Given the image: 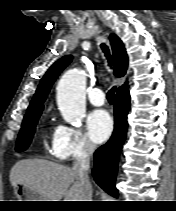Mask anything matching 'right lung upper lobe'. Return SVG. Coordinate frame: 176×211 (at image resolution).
<instances>
[{"mask_svg": "<svg viewBox=\"0 0 176 211\" xmlns=\"http://www.w3.org/2000/svg\"><path fill=\"white\" fill-rule=\"evenodd\" d=\"M109 40L112 46L113 58H114V74L117 77H122L126 74L127 70V54L123 46L122 41L115 34L109 36ZM72 61V56L67 55L58 60L43 76L36 93L27 109L25 115L29 116L35 113L42 112L43 102L45 101L47 94L50 91V88L58 75L62 70ZM126 84L123 87H119L117 93L127 91Z\"/></svg>", "mask_w": 176, "mask_h": 211, "instance_id": "1", "label": "right lung upper lobe"}]
</instances>
